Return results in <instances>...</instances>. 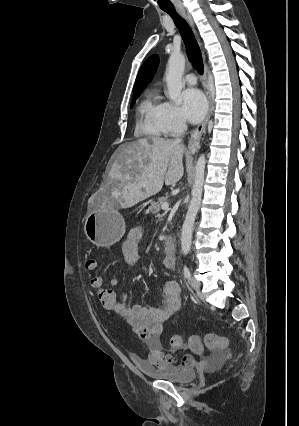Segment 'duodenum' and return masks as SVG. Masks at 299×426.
<instances>
[{
	"mask_svg": "<svg viewBox=\"0 0 299 426\" xmlns=\"http://www.w3.org/2000/svg\"><path fill=\"white\" fill-rule=\"evenodd\" d=\"M164 253L168 259L174 260L176 256V247L173 240L168 237L164 242Z\"/></svg>",
	"mask_w": 299,
	"mask_h": 426,
	"instance_id": "410a0bca",
	"label": "duodenum"
}]
</instances>
